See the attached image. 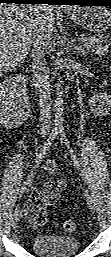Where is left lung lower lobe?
Instances as JSON below:
<instances>
[{
    "mask_svg": "<svg viewBox=\"0 0 111 257\" xmlns=\"http://www.w3.org/2000/svg\"><path fill=\"white\" fill-rule=\"evenodd\" d=\"M72 5H81V6H92L95 4H101L103 6H111V0H71Z\"/></svg>",
    "mask_w": 111,
    "mask_h": 257,
    "instance_id": "obj_1",
    "label": "left lung lower lobe"
}]
</instances>
